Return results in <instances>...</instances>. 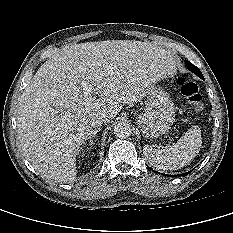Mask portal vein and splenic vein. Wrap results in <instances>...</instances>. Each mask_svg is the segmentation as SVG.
<instances>
[{"label": "portal vein and splenic vein", "mask_w": 233, "mask_h": 233, "mask_svg": "<svg viewBox=\"0 0 233 233\" xmlns=\"http://www.w3.org/2000/svg\"><path fill=\"white\" fill-rule=\"evenodd\" d=\"M83 88H84V94L86 96L90 95V93L92 91V86L91 85H87V84H83Z\"/></svg>", "instance_id": "18ae733b"}]
</instances>
